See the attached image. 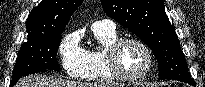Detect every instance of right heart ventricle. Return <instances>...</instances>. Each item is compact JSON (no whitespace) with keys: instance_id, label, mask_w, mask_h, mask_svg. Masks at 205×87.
<instances>
[{"instance_id":"obj_1","label":"right heart ventricle","mask_w":205,"mask_h":87,"mask_svg":"<svg viewBox=\"0 0 205 87\" xmlns=\"http://www.w3.org/2000/svg\"><path fill=\"white\" fill-rule=\"evenodd\" d=\"M95 39L100 43V49L85 50V68L80 76L84 81L110 83L116 79L110 74L105 61L106 49L119 39L115 30L92 28Z\"/></svg>"}]
</instances>
